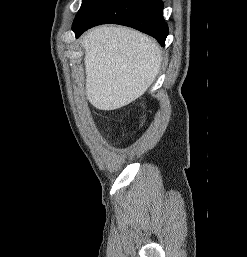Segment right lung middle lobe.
<instances>
[{"label": "right lung middle lobe", "mask_w": 247, "mask_h": 257, "mask_svg": "<svg viewBox=\"0 0 247 257\" xmlns=\"http://www.w3.org/2000/svg\"><path fill=\"white\" fill-rule=\"evenodd\" d=\"M94 1L95 0H83L81 8L74 19V23H77L79 20L82 19V17L86 14L87 10L90 8Z\"/></svg>", "instance_id": "obj_1"}]
</instances>
